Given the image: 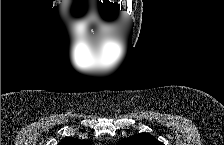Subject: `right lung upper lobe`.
<instances>
[{
	"mask_svg": "<svg viewBox=\"0 0 224 145\" xmlns=\"http://www.w3.org/2000/svg\"><path fill=\"white\" fill-rule=\"evenodd\" d=\"M58 145H89V142L87 140L65 138Z\"/></svg>",
	"mask_w": 224,
	"mask_h": 145,
	"instance_id": "obj_1",
	"label": "right lung upper lobe"
}]
</instances>
